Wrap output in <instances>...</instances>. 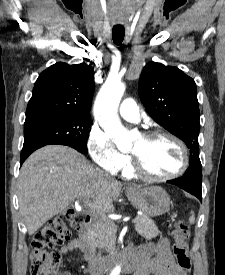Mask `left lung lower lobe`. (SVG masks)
Instances as JSON below:
<instances>
[{
  "instance_id": "0a47b994",
  "label": "left lung lower lobe",
  "mask_w": 225,
  "mask_h": 275,
  "mask_svg": "<svg viewBox=\"0 0 225 275\" xmlns=\"http://www.w3.org/2000/svg\"><path fill=\"white\" fill-rule=\"evenodd\" d=\"M168 183L177 185L185 191L195 195L197 198L202 199L201 184H202V171L201 162L190 164L185 174L177 179L169 180Z\"/></svg>"
}]
</instances>
